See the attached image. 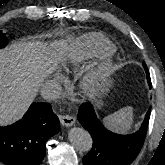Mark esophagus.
<instances>
[{
  "mask_svg": "<svg viewBox=\"0 0 165 165\" xmlns=\"http://www.w3.org/2000/svg\"><path fill=\"white\" fill-rule=\"evenodd\" d=\"M59 119H60L61 124L66 127L72 126L76 120L74 116H70V115H62L59 117Z\"/></svg>",
  "mask_w": 165,
  "mask_h": 165,
  "instance_id": "34e87169",
  "label": "esophagus"
}]
</instances>
